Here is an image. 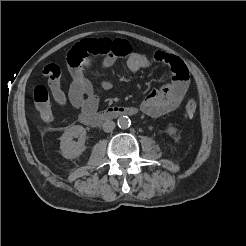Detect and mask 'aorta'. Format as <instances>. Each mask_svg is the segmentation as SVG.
Instances as JSON below:
<instances>
[{
  "label": "aorta",
  "instance_id": "obj_1",
  "mask_svg": "<svg viewBox=\"0 0 246 246\" xmlns=\"http://www.w3.org/2000/svg\"><path fill=\"white\" fill-rule=\"evenodd\" d=\"M118 127L121 129H127L131 125V120L129 119L128 116H121L118 118Z\"/></svg>",
  "mask_w": 246,
  "mask_h": 246
}]
</instances>
